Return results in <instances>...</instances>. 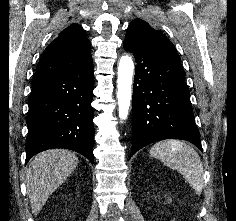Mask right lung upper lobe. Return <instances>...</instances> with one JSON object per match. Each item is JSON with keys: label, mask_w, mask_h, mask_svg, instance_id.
<instances>
[{"label": "right lung upper lobe", "mask_w": 236, "mask_h": 221, "mask_svg": "<svg viewBox=\"0 0 236 221\" xmlns=\"http://www.w3.org/2000/svg\"><path fill=\"white\" fill-rule=\"evenodd\" d=\"M90 46L80 25L68 26L42 53L33 79L91 65Z\"/></svg>", "instance_id": "1"}]
</instances>
